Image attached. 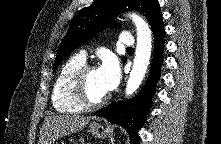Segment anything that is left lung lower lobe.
I'll return each mask as SVG.
<instances>
[{
  "label": "left lung lower lobe",
  "mask_w": 221,
  "mask_h": 144,
  "mask_svg": "<svg viewBox=\"0 0 221 144\" xmlns=\"http://www.w3.org/2000/svg\"><path fill=\"white\" fill-rule=\"evenodd\" d=\"M154 34V55L148 80L140 93L134 98L119 103H112L97 112L96 116L104 117L113 124L124 127L130 136V141L136 144L139 141L138 131L146 121L151 98L155 94L156 83L160 78V68L163 63L164 26L160 17L152 27Z\"/></svg>",
  "instance_id": "left-lung-lower-lobe-1"
}]
</instances>
